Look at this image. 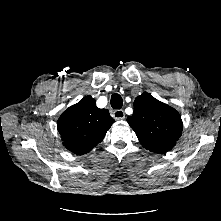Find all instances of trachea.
<instances>
[{
  "label": "trachea",
  "mask_w": 221,
  "mask_h": 221,
  "mask_svg": "<svg viewBox=\"0 0 221 221\" xmlns=\"http://www.w3.org/2000/svg\"><path fill=\"white\" fill-rule=\"evenodd\" d=\"M110 104L113 109H121L123 106V99L121 95L117 93L113 94L111 96Z\"/></svg>",
  "instance_id": "trachea-1"
}]
</instances>
